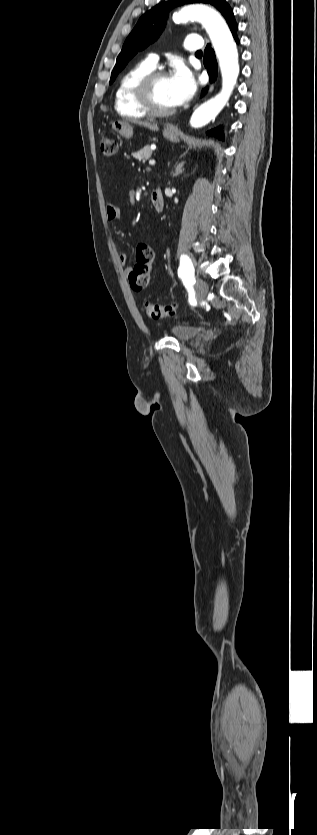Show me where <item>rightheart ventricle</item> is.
Wrapping results in <instances>:
<instances>
[{
	"mask_svg": "<svg viewBox=\"0 0 317 835\" xmlns=\"http://www.w3.org/2000/svg\"><path fill=\"white\" fill-rule=\"evenodd\" d=\"M153 70L147 61H142L122 75L115 92V109L120 115L136 119L148 116L136 99L135 88L141 78Z\"/></svg>",
	"mask_w": 317,
	"mask_h": 835,
	"instance_id": "e07e8e85",
	"label": "right heart ventricle"
}]
</instances>
